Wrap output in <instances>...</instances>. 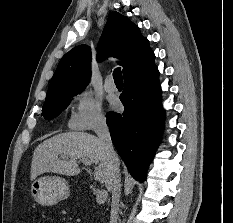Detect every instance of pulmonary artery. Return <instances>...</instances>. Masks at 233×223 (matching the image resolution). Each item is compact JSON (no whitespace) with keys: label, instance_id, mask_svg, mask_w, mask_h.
I'll use <instances>...</instances> for the list:
<instances>
[{"label":"pulmonary artery","instance_id":"1","mask_svg":"<svg viewBox=\"0 0 233 223\" xmlns=\"http://www.w3.org/2000/svg\"><path fill=\"white\" fill-rule=\"evenodd\" d=\"M105 88H106V90H107L108 92H110V93L116 92L117 88H116L115 84L113 83V78H112V76H109V77L106 79Z\"/></svg>","mask_w":233,"mask_h":223}]
</instances>
